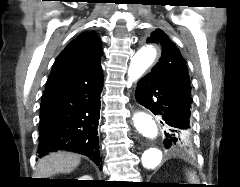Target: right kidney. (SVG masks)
<instances>
[{"mask_svg":"<svg viewBox=\"0 0 240 187\" xmlns=\"http://www.w3.org/2000/svg\"><path fill=\"white\" fill-rule=\"evenodd\" d=\"M93 178H91V176L89 175H84L81 178H79V180H92Z\"/></svg>","mask_w":240,"mask_h":187,"instance_id":"obj_1","label":"right kidney"}]
</instances>
